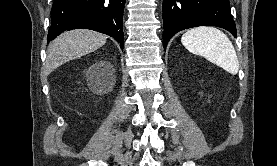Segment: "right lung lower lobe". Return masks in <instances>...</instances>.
Segmentation results:
<instances>
[{
	"label": "right lung lower lobe",
	"mask_w": 277,
	"mask_h": 166,
	"mask_svg": "<svg viewBox=\"0 0 277 166\" xmlns=\"http://www.w3.org/2000/svg\"><path fill=\"white\" fill-rule=\"evenodd\" d=\"M126 0H54L47 40L84 28L115 38L123 48L122 17Z\"/></svg>",
	"instance_id": "1"
}]
</instances>
